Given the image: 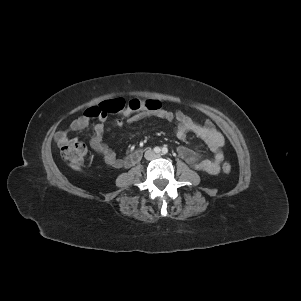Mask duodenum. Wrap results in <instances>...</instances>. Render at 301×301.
I'll use <instances>...</instances> for the list:
<instances>
[{"mask_svg": "<svg viewBox=\"0 0 301 301\" xmlns=\"http://www.w3.org/2000/svg\"><path fill=\"white\" fill-rule=\"evenodd\" d=\"M142 152L137 150L126 157V166H132L136 164L141 158Z\"/></svg>", "mask_w": 301, "mask_h": 301, "instance_id": "duodenum-1", "label": "duodenum"}]
</instances>
